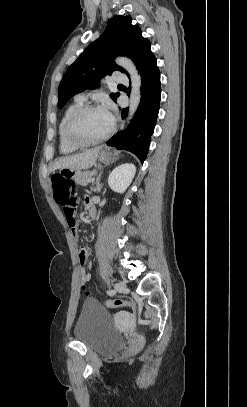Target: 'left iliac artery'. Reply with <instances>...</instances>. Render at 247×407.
Masks as SVG:
<instances>
[{
    "instance_id": "1",
    "label": "left iliac artery",
    "mask_w": 247,
    "mask_h": 407,
    "mask_svg": "<svg viewBox=\"0 0 247 407\" xmlns=\"http://www.w3.org/2000/svg\"><path fill=\"white\" fill-rule=\"evenodd\" d=\"M107 294H108V295H114V294H115V291H114V290H107Z\"/></svg>"
}]
</instances>
